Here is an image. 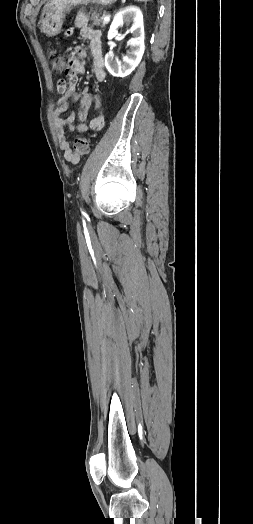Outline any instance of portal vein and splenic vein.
I'll return each instance as SVG.
<instances>
[{"label": "portal vein and splenic vein", "mask_w": 253, "mask_h": 524, "mask_svg": "<svg viewBox=\"0 0 253 524\" xmlns=\"http://www.w3.org/2000/svg\"><path fill=\"white\" fill-rule=\"evenodd\" d=\"M109 20H110V15L104 16V18H103V22L104 23H107Z\"/></svg>", "instance_id": "obj_1"}]
</instances>
